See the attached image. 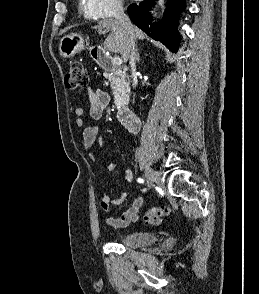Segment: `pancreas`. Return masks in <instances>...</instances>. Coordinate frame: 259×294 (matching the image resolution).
<instances>
[{"mask_svg":"<svg viewBox=\"0 0 259 294\" xmlns=\"http://www.w3.org/2000/svg\"><path fill=\"white\" fill-rule=\"evenodd\" d=\"M111 84L116 106H123L129 100L130 88L125 74L119 70H114L113 74L105 73Z\"/></svg>","mask_w":259,"mask_h":294,"instance_id":"cf45deb5","label":"pancreas"}]
</instances>
